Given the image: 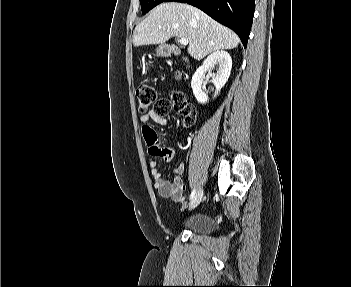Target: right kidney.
Wrapping results in <instances>:
<instances>
[{"mask_svg": "<svg viewBox=\"0 0 351 287\" xmlns=\"http://www.w3.org/2000/svg\"><path fill=\"white\" fill-rule=\"evenodd\" d=\"M218 66L217 73H212L215 66ZM232 68V59L228 52L219 50L210 54L203 62V64L196 70L192 77L191 87L196 100L205 104L208 102V96L202 89V82L205 73L212 78V83L216 87L215 95H218L221 88L226 84L230 76Z\"/></svg>", "mask_w": 351, "mask_h": 287, "instance_id": "ca27d5eb", "label": "right kidney"}]
</instances>
